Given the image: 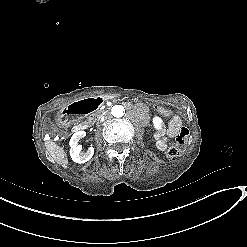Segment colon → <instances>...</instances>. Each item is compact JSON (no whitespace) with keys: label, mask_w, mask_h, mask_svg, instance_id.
<instances>
[{"label":"colon","mask_w":247,"mask_h":247,"mask_svg":"<svg viewBox=\"0 0 247 247\" xmlns=\"http://www.w3.org/2000/svg\"><path fill=\"white\" fill-rule=\"evenodd\" d=\"M156 113L161 117H169L171 112L162 104H159L155 108ZM189 140L188 128L182 127L179 133L176 135L174 142L169 145L166 150V155L169 160H175L187 145Z\"/></svg>","instance_id":"colon-1"}]
</instances>
